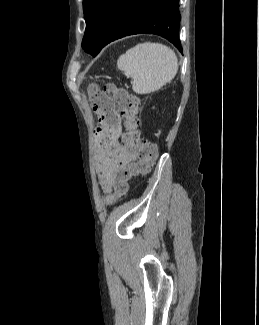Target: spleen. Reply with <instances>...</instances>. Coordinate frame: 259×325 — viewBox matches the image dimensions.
I'll list each match as a JSON object with an SVG mask.
<instances>
[{
  "label": "spleen",
  "mask_w": 259,
  "mask_h": 325,
  "mask_svg": "<svg viewBox=\"0 0 259 325\" xmlns=\"http://www.w3.org/2000/svg\"><path fill=\"white\" fill-rule=\"evenodd\" d=\"M117 67L132 77V89L138 94L159 90L178 70L175 52L161 43H139L121 55Z\"/></svg>",
  "instance_id": "obj_1"
}]
</instances>
